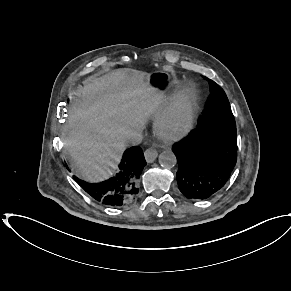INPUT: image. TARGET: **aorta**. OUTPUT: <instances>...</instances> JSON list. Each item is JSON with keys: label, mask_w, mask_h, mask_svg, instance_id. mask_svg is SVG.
Listing matches in <instances>:
<instances>
[{"label": "aorta", "mask_w": 291, "mask_h": 291, "mask_svg": "<svg viewBox=\"0 0 291 291\" xmlns=\"http://www.w3.org/2000/svg\"><path fill=\"white\" fill-rule=\"evenodd\" d=\"M176 163L177 159L172 151H164L159 155V164L164 168H173Z\"/></svg>", "instance_id": "obj_1"}]
</instances>
